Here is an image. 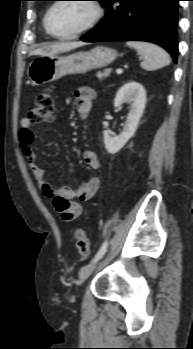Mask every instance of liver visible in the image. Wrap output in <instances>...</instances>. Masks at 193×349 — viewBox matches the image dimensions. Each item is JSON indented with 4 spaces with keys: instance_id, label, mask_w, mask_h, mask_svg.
Masks as SVG:
<instances>
[{
    "instance_id": "6515ba94",
    "label": "liver",
    "mask_w": 193,
    "mask_h": 349,
    "mask_svg": "<svg viewBox=\"0 0 193 349\" xmlns=\"http://www.w3.org/2000/svg\"><path fill=\"white\" fill-rule=\"evenodd\" d=\"M84 44L85 43L80 41L48 44L34 50L33 52H31V55L54 56L58 53L71 51L73 49L83 46Z\"/></svg>"
}]
</instances>
